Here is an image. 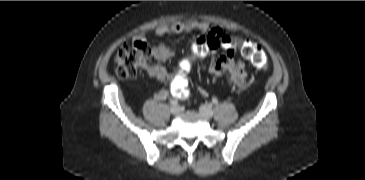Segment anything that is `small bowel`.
Segmentation results:
<instances>
[{
	"mask_svg": "<svg viewBox=\"0 0 365 180\" xmlns=\"http://www.w3.org/2000/svg\"><path fill=\"white\" fill-rule=\"evenodd\" d=\"M193 30L199 31L203 36L196 39V44L204 47V56L208 57L209 67L208 71L212 76L224 75L227 81L235 87L243 88L247 81L248 70L245 63L236 58L233 50L230 49V43L223 41V37L226 35H233L223 28H212L205 22L186 21L178 22L172 25H163L156 29L155 34L159 37L181 34L190 32ZM212 36L219 41V44H207L206 38ZM138 40L144 41L143 37H139ZM220 44L226 49L225 55H220L218 49ZM151 53L157 61L165 62L173 58L174 51L164 43H159L151 48ZM191 62L183 60L178 66L167 69L160 65L152 66L146 69L147 73L151 77H155L161 81L173 83L182 77L185 70L190 67ZM168 95L166 90H160L157 92L156 97L159 100H164Z\"/></svg>",
	"mask_w": 365,
	"mask_h": 180,
	"instance_id": "obj_1",
	"label": "small bowel"
}]
</instances>
